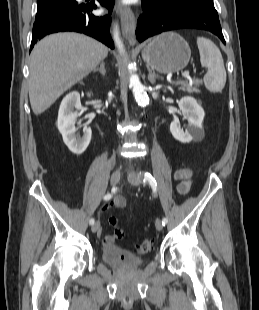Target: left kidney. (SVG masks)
<instances>
[{"label": "left kidney", "mask_w": 259, "mask_h": 310, "mask_svg": "<svg viewBox=\"0 0 259 310\" xmlns=\"http://www.w3.org/2000/svg\"><path fill=\"white\" fill-rule=\"evenodd\" d=\"M179 109L188 121L185 130L180 126V122L175 118L170 124L172 136L182 142L189 143L192 140H199L203 137L202 122L205 112L197 101L190 96L183 97L179 103Z\"/></svg>", "instance_id": "5707ae66"}]
</instances>
